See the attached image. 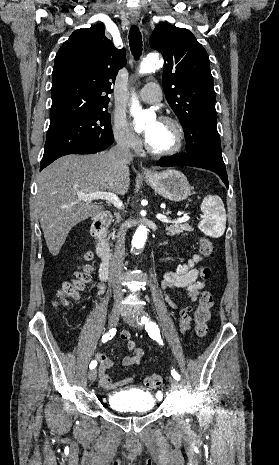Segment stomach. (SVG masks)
Wrapping results in <instances>:
<instances>
[{"label": "stomach", "mask_w": 279, "mask_h": 465, "mask_svg": "<svg viewBox=\"0 0 279 465\" xmlns=\"http://www.w3.org/2000/svg\"><path fill=\"white\" fill-rule=\"evenodd\" d=\"M145 182L167 200L180 202L190 195V185L183 173L174 169L144 176Z\"/></svg>", "instance_id": "1"}]
</instances>
